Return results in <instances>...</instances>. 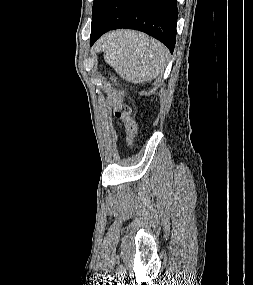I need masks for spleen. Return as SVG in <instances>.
Returning a JSON list of instances; mask_svg holds the SVG:
<instances>
[{"mask_svg": "<svg viewBox=\"0 0 253 285\" xmlns=\"http://www.w3.org/2000/svg\"><path fill=\"white\" fill-rule=\"evenodd\" d=\"M104 60L124 80L144 83L163 71L168 63V51L148 35L124 30L108 36Z\"/></svg>", "mask_w": 253, "mask_h": 285, "instance_id": "3e777b00", "label": "spleen"}]
</instances>
